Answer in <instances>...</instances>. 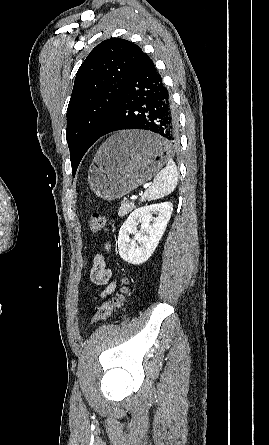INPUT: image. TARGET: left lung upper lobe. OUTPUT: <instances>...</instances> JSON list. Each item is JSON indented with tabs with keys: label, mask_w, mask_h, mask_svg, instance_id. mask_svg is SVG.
I'll return each instance as SVG.
<instances>
[{
	"label": "left lung upper lobe",
	"mask_w": 269,
	"mask_h": 445,
	"mask_svg": "<svg viewBox=\"0 0 269 445\" xmlns=\"http://www.w3.org/2000/svg\"><path fill=\"white\" fill-rule=\"evenodd\" d=\"M143 55L132 42L111 38L98 44L78 69L67 108L66 129L73 175L86 151L112 119Z\"/></svg>",
	"instance_id": "1"
}]
</instances>
